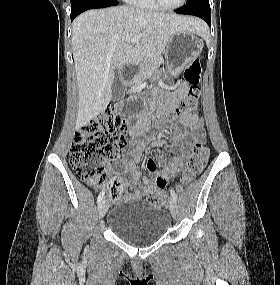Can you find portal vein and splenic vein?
<instances>
[{
	"instance_id": "portal-vein-and-splenic-vein-1",
	"label": "portal vein and splenic vein",
	"mask_w": 280,
	"mask_h": 285,
	"mask_svg": "<svg viewBox=\"0 0 280 285\" xmlns=\"http://www.w3.org/2000/svg\"><path fill=\"white\" fill-rule=\"evenodd\" d=\"M137 42H139V37H133L132 39H131V43H137Z\"/></svg>"
}]
</instances>
